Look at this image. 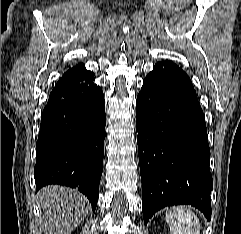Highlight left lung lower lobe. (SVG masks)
I'll return each instance as SVG.
<instances>
[{
  "label": "left lung lower lobe",
  "mask_w": 241,
  "mask_h": 234,
  "mask_svg": "<svg viewBox=\"0 0 241 234\" xmlns=\"http://www.w3.org/2000/svg\"><path fill=\"white\" fill-rule=\"evenodd\" d=\"M142 210L147 224L165 206L190 204L211 219L210 149L203 111L187 74L158 62L137 96Z\"/></svg>",
  "instance_id": "1"
}]
</instances>
